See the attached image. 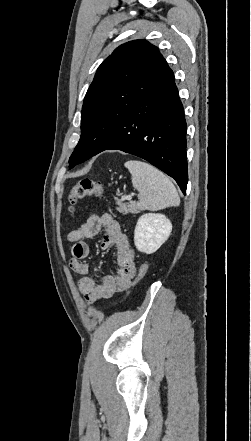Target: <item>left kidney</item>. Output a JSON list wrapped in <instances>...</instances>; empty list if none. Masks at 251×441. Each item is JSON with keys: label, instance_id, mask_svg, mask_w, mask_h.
<instances>
[{"label": "left kidney", "instance_id": "left-kidney-1", "mask_svg": "<svg viewBox=\"0 0 251 441\" xmlns=\"http://www.w3.org/2000/svg\"><path fill=\"white\" fill-rule=\"evenodd\" d=\"M172 224L160 213L143 214L137 221L134 231V243L138 251L152 254L168 239Z\"/></svg>", "mask_w": 251, "mask_h": 441}]
</instances>
